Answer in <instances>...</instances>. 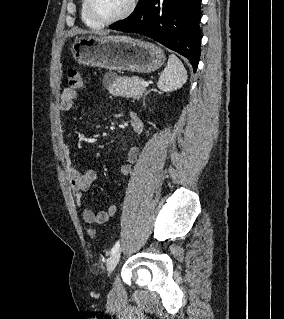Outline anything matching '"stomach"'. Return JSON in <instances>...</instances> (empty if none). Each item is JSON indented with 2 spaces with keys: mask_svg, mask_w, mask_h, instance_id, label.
<instances>
[{
  "mask_svg": "<svg viewBox=\"0 0 284 319\" xmlns=\"http://www.w3.org/2000/svg\"><path fill=\"white\" fill-rule=\"evenodd\" d=\"M82 36L71 47L73 58L81 65L108 70L151 73L165 62L163 50L137 39Z\"/></svg>",
  "mask_w": 284,
  "mask_h": 319,
  "instance_id": "0dacf381",
  "label": "stomach"
}]
</instances>
